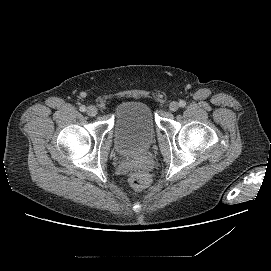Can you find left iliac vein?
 Masks as SVG:
<instances>
[{
	"label": "left iliac vein",
	"mask_w": 271,
	"mask_h": 271,
	"mask_svg": "<svg viewBox=\"0 0 271 271\" xmlns=\"http://www.w3.org/2000/svg\"><path fill=\"white\" fill-rule=\"evenodd\" d=\"M179 109V104L175 101L171 102L169 104V110L172 111V112H175Z\"/></svg>",
	"instance_id": "left-iliac-vein-1"
}]
</instances>
